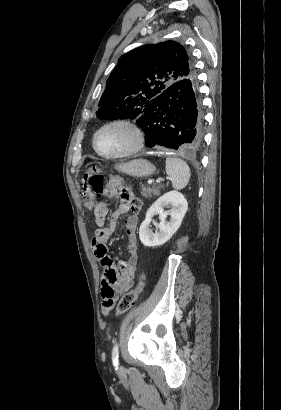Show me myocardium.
I'll return each mask as SVG.
<instances>
[{
  "mask_svg": "<svg viewBox=\"0 0 281 410\" xmlns=\"http://www.w3.org/2000/svg\"><path fill=\"white\" fill-rule=\"evenodd\" d=\"M114 126H122V127H126L127 129H129L131 133L133 134L134 143L130 149L122 153H119V154L109 155V154L102 153L97 147V143H96L97 136L102 130L109 128V127H114ZM144 144H145V134L143 130L140 128L138 124L126 118H117V119H114V120H111V121H108L102 124L96 129L92 137V146H93L94 151L100 157L109 159V160L122 159V158L132 156L136 154L137 152H139L144 147Z\"/></svg>",
  "mask_w": 281,
  "mask_h": 410,
  "instance_id": "myocardium-1",
  "label": "myocardium"
}]
</instances>
